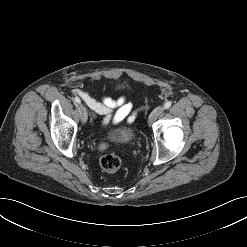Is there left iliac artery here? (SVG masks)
I'll return each instance as SVG.
<instances>
[{
    "label": "left iliac artery",
    "mask_w": 247,
    "mask_h": 247,
    "mask_svg": "<svg viewBox=\"0 0 247 247\" xmlns=\"http://www.w3.org/2000/svg\"><path fill=\"white\" fill-rule=\"evenodd\" d=\"M171 105H172V102H171V101H167V102L164 104V108H165V109H168Z\"/></svg>",
    "instance_id": "left-iliac-artery-1"
}]
</instances>
